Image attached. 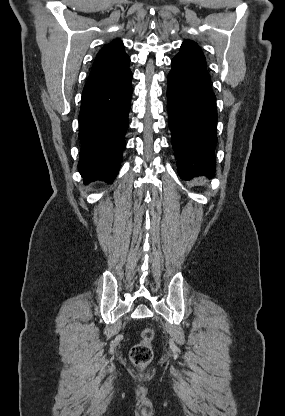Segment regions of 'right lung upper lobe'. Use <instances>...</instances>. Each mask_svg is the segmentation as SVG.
I'll return each instance as SVG.
<instances>
[{
	"label": "right lung upper lobe",
	"instance_id": "obj_1",
	"mask_svg": "<svg viewBox=\"0 0 285 416\" xmlns=\"http://www.w3.org/2000/svg\"><path fill=\"white\" fill-rule=\"evenodd\" d=\"M130 58L120 40H113L97 54L83 93L110 85L124 77L129 70Z\"/></svg>",
	"mask_w": 285,
	"mask_h": 416
}]
</instances>
